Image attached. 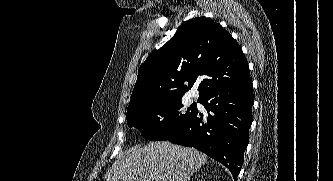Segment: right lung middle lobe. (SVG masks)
Segmentation results:
<instances>
[{
	"instance_id": "right-lung-middle-lobe-1",
	"label": "right lung middle lobe",
	"mask_w": 333,
	"mask_h": 181,
	"mask_svg": "<svg viewBox=\"0 0 333 181\" xmlns=\"http://www.w3.org/2000/svg\"><path fill=\"white\" fill-rule=\"evenodd\" d=\"M196 103L185 108L181 98L145 103L128 110V126L137 128L149 140H167L195 114Z\"/></svg>"
}]
</instances>
